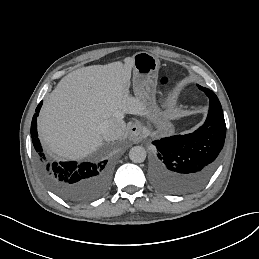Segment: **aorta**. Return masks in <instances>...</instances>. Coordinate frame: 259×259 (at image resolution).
<instances>
[{
  "instance_id": "762f6f07",
  "label": "aorta",
  "mask_w": 259,
  "mask_h": 259,
  "mask_svg": "<svg viewBox=\"0 0 259 259\" xmlns=\"http://www.w3.org/2000/svg\"><path fill=\"white\" fill-rule=\"evenodd\" d=\"M129 158L134 163H142L146 159V150L141 146H134L129 151Z\"/></svg>"
}]
</instances>
